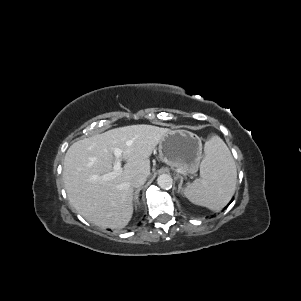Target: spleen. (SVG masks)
<instances>
[{
	"label": "spleen",
	"instance_id": "obj_1",
	"mask_svg": "<svg viewBox=\"0 0 301 301\" xmlns=\"http://www.w3.org/2000/svg\"><path fill=\"white\" fill-rule=\"evenodd\" d=\"M204 151L200 179L188 184L184 195L193 204L220 211L231 200L236 189L235 162L227 145L218 136L205 143Z\"/></svg>",
	"mask_w": 301,
	"mask_h": 301
}]
</instances>
